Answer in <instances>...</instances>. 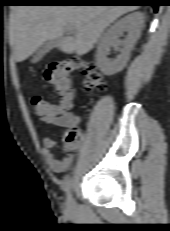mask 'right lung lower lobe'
Returning <instances> with one entry per match:
<instances>
[{"label": "right lung lower lobe", "mask_w": 170, "mask_h": 231, "mask_svg": "<svg viewBox=\"0 0 170 231\" xmlns=\"http://www.w3.org/2000/svg\"><path fill=\"white\" fill-rule=\"evenodd\" d=\"M33 5H150L157 12L160 0H30Z\"/></svg>", "instance_id": "1"}]
</instances>
